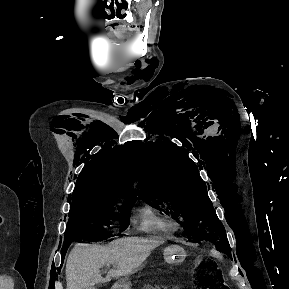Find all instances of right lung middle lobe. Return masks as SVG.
<instances>
[{
  "mask_svg": "<svg viewBox=\"0 0 289 289\" xmlns=\"http://www.w3.org/2000/svg\"><path fill=\"white\" fill-rule=\"evenodd\" d=\"M134 202L135 199L116 197L73 199L63 247L73 241H98L113 236L107 231L111 220H118L121 231L125 230Z\"/></svg>",
  "mask_w": 289,
  "mask_h": 289,
  "instance_id": "right-lung-middle-lobe-1",
  "label": "right lung middle lobe"
}]
</instances>
